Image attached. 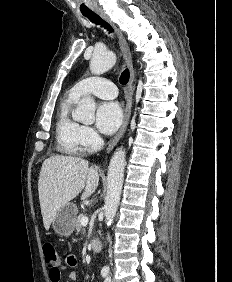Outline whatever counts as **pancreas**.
<instances>
[{
    "mask_svg": "<svg viewBox=\"0 0 232 282\" xmlns=\"http://www.w3.org/2000/svg\"><path fill=\"white\" fill-rule=\"evenodd\" d=\"M84 216H85L84 214H80L78 215V217L75 220V228H76L77 233H79L82 229L81 219Z\"/></svg>",
    "mask_w": 232,
    "mask_h": 282,
    "instance_id": "1",
    "label": "pancreas"
}]
</instances>
